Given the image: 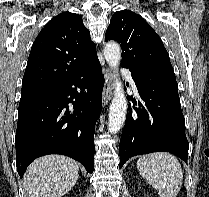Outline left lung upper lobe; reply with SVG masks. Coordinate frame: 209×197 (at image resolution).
<instances>
[{
    "label": "left lung upper lobe",
    "instance_id": "obj_1",
    "mask_svg": "<svg viewBox=\"0 0 209 197\" xmlns=\"http://www.w3.org/2000/svg\"><path fill=\"white\" fill-rule=\"evenodd\" d=\"M105 40H116L122 47V65L136 75L153 81H176L169 54L160 37L132 11L116 12Z\"/></svg>",
    "mask_w": 209,
    "mask_h": 197
}]
</instances>
